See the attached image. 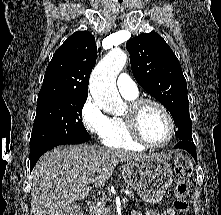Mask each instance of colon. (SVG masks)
<instances>
[{
	"label": "colon",
	"mask_w": 221,
	"mask_h": 215,
	"mask_svg": "<svg viewBox=\"0 0 221 215\" xmlns=\"http://www.w3.org/2000/svg\"><path fill=\"white\" fill-rule=\"evenodd\" d=\"M175 201L174 209L186 214L189 211L188 196L193 179V166L190 158L184 152H177L175 159Z\"/></svg>",
	"instance_id": "obj_1"
}]
</instances>
